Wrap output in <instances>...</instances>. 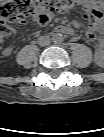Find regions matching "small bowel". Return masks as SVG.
Here are the masks:
<instances>
[{
  "instance_id": "small-bowel-1",
  "label": "small bowel",
  "mask_w": 104,
  "mask_h": 137,
  "mask_svg": "<svg viewBox=\"0 0 104 137\" xmlns=\"http://www.w3.org/2000/svg\"><path fill=\"white\" fill-rule=\"evenodd\" d=\"M83 10H84L83 16L85 22L84 23L75 22V24L78 26L82 25L86 28V33H85L86 39L95 46V55H94L95 61L98 65H102L104 61V53L102 49V44L98 37V33L100 32L103 26L102 14L99 11V9L92 4L90 0L83 3ZM47 21H41V22H47ZM56 31L61 34H72V30L65 26L57 27ZM7 35L8 34L2 35V37H6ZM12 52H13L12 46H7L3 50L4 55H10Z\"/></svg>"
}]
</instances>
